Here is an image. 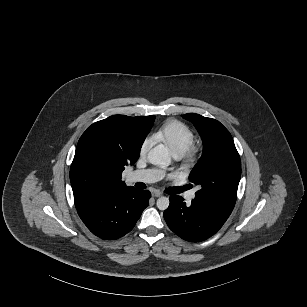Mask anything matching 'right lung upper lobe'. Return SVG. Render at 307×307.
I'll return each instance as SVG.
<instances>
[{
	"mask_svg": "<svg viewBox=\"0 0 307 307\" xmlns=\"http://www.w3.org/2000/svg\"><path fill=\"white\" fill-rule=\"evenodd\" d=\"M154 120V116L114 115L87 128L70 169L76 208L127 187L121 180L122 172L139 158Z\"/></svg>",
	"mask_w": 307,
	"mask_h": 307,
	"instance_id": "obj_1",
	"label": "right lung upper lobe"
}]
</instances>
